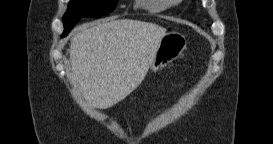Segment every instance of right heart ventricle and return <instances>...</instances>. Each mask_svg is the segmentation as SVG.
Here are the masks:
<instances>
[{
  "instance_id": "right-heart-ventricle-1",
  "label": "right heart ventricle",
  "mask_w": 273,
  "mask_h": 144,
  "mask_svg": "<svg viewBox=\"0 0 273 144\" xmlns=\"http://www.w3.org/2000/svg\"><path fill=\"white\" fill-rule=\"evenodd\" d=\"M168 6L164 0H139L137 7L148 13H158L163 11Z\"/></svg>"
}]
</instances>
